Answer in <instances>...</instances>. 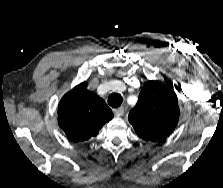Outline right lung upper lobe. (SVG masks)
I'll list each match as a JSON object with an SVG mask.
<instances>
[{
    "label": "right lung upper lobe",
    "instance_id": "right-lung-upper-lobe-1",
    "mask_svg": "<svg viewBox=\"0 0 223 188\" xmlns=\"http://www.w3.org/2000/svg\"><path fill=\"white\" fill-rule=\"evenodd\" d=\"M83 82L65 94L58 106V122L73 142L88 141L113 118L105 101Z\"/></svg>",
    "mask_w": 223,
    "mask_h": 188
}]
</instances>
